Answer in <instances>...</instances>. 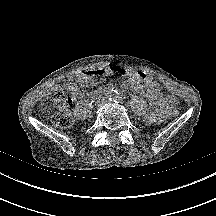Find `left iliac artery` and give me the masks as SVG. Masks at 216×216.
I'll use <instances>...</instances> for the list:
<instances>
[{
	"instance_id": "1",
	"label": "left iliac artery",
	"mask_w": 216,
	"mask_h": 216,
	"mask_svg": "<svg viewBox=\"0 0 216 216\" xmlns=\"http://www.w3.org/2000/svg\"><path fill=\"white\" fill-rule=\"evenodd\" d=\"M124 97L122 95H119V93H117L114 97V101L117 103H122Z\"/></svg>"
}]
</instances>
